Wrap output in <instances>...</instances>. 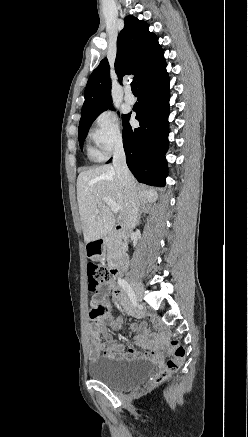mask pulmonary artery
<instances>
[{"label": "pulmonary artery", "instance_id": "1", "mask_svg": "<svg viewBox=\"0 0 248 437\" xmlns=\"http://www.w3.org/2000/svg\"><path fill=\"white\" fill-rule=\"evenodd\" d=\"M124 99L128 104H133L135 102V97L129 88L126 89Z\"/></svg>", "mask_w": 248, "mask_h": 437}]
</instances>
